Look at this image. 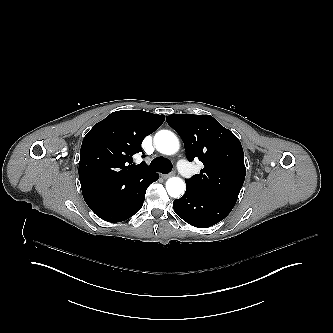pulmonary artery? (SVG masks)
I'll return each instance as SVG.
<instances>
[{
	"instance_id": "obj_1",
	"label": "pulmonary artery",
	"mask_w": 333,
	"mask_h": 333,
	"mask_svg": "<svg viewBox=\"0 0 333 333\" xmlns=\"http://www.w3.org/2000/svg\"><path fill=\"white\" fill-rule=\"evenodd\" d=\"M179 162L176 163V170L182 172L184 175L188 174V178L192 180L194 177L190 174L193 173V166L192 165H186L185 161L181 159L180 157L177 159Z\"/></svg>"
}]
</instances>
